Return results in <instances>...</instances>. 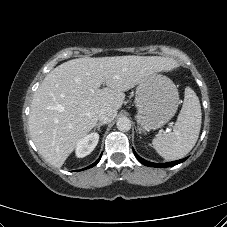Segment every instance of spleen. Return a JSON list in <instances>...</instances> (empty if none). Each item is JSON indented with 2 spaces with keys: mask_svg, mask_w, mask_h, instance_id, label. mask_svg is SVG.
Wrapping results in <instances>:
<instances>
[{
  "mask_svg": "<svg viewBox=\"0 0 227 227\" xmlns=\"http://www.w3.org/2000/svg\"><path fill=\"white\" fill-rule=\"evenodd\" d=\"M201 120L200 101L196 93L190 87H186L183 106L173 131L154 138V149L166 160L183 158L197 142Z\"/></svg>",
  "mask_w": 227,
  "mask_h": 227,
  "instance_id": "1",
  "label": "spleen"
}]
</instances>
